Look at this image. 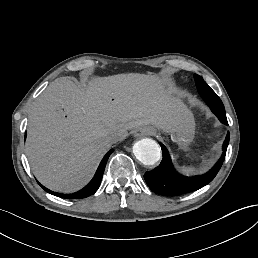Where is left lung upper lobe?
Listing matches in <instances>:
<instances>
[{
	"label": "left lung upper lobe",
	"mask_w": 258,
	"mask_h": 258,
	"mask_svg": "<svg viewBox=\"0 0 258 258\" xmlns=\"http://www.w3.org/2000/svg\"><path fill=\"white\" fill-rule=\"evenodd\" d=\"M194 78H195V82L196 81H204L203 78L197 74L194 75Z\"/></svg>",
	"instance_id": "5c2ea615"
}]
</instances>
